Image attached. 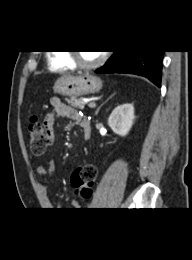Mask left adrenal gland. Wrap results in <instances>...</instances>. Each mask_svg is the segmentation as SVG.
<instances>
[{"mask_svg":"<svg viewBox=\"0 0 192 260\" xmlns=\"http://www.w3.org/2000/svg\"><path fill=\"white\" fill-rule=\"evenodd\" d=\"M111 97H112V96H111ZM100 108H101V106H100V107L97 109V111H96L95 115H97V114H98V112H99Z\"/></svg>","mask_w":192,"mask_h":260,"instance_id":"1","label":"left adrenal gland"}]
</instances>
